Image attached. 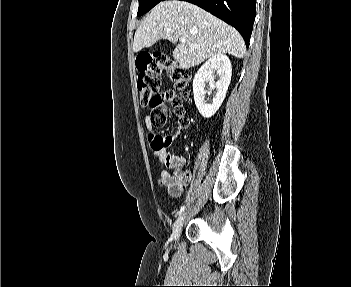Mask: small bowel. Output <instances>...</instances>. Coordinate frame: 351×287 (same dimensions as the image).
<instances>
[{
    "mask_svg": "<svg viewBox=\"0 0 351 287\" xmlns=\"http://www.w3.org/2000/svg\"><path fill=\"white\" fill-rule=\"evenodd\" d=\"M144 124L149 131L147 136L149 147L151 148L152 152H155L154 156L159 162L160 167H183L185 165V159L180 156L172 155L171 153L165 151V148L171 147V142L175 139L177 132L184 127L179 124L178 131L176 133L167 136H160L159 132H153L154 128L152 126V119L150 116L144 117ZM159 184L167 188L171 196L177 197L181 194L178 180L167 170L161 169L159 173Z\"/></svg>",
    "mask_w": 351,
    "mask_h": 287,
    "instance_id": "obj_1",
    "label": "small bowel"
}]
</instances>
